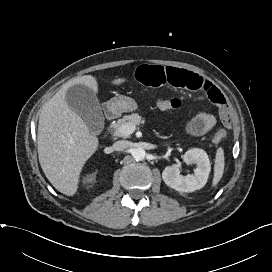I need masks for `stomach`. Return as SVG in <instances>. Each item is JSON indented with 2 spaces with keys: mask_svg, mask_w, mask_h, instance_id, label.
Instances as JSON below:
<instances>
[{
  "mask_svg": "<svg viewBox=\"0 0 272 272\" xmlns=\"http://www.w3.org/2000/svg\"><path fill=\"white\" fill-rule=\"evenodd\" d=\"M108 107L113 113L120 114L135 111L138 108V105L132 98L118 96L109 101Z\"/></svg>",
  "mask_w": 272,
  "mask_h": 272,
  "instance_id": "1",
  "label": "stomach"
}]
</instances>
